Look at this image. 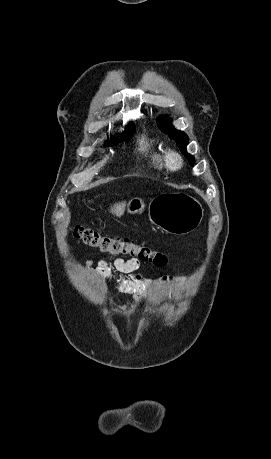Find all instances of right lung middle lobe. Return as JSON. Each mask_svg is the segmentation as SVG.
I'll return each mask as SVG.
<instances>
[{
	"label": "right lung middle lobe",
	"mask_w": 271,
	"mask_h": 459,
	"mask_svg": "<svg viewBox=\"0 0 271 459\" xmlns=\"http://www.w3.org/2000/svg\"><path fill=\"white\" fill-rule=\"evenodd\" d=\"M135 126L133 124L129 125L126 127V130L123 135H121V138L124 140H129L132 136V133L134 132ZM115 143H119V140L114 141Z\"/></svg>",
	"instance_id": "dd1d6c3e"
}]
</instances>
